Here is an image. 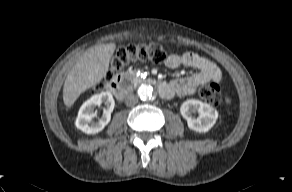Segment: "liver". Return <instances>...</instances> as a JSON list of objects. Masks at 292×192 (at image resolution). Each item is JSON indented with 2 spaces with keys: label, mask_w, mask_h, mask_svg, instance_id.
Wrapping results in <instances>:
<instances>
[{
  "label": "liver",
  "mask_w": 292,
  "mask_h": 192,
  "mask_svg": "<svg viewBox=\"0 0 292 192\" xmlns=\"http://www.w3.org/2000/svg\"><path fill=\"white\" fill-rule=\"evenodd\" d=\"M115 48V43L94 46L78 59L63 86V101L67 107H71L84 91L102 80Z\"/></svg>",
  "instance_id": "liver-1"
}]
</instances>
